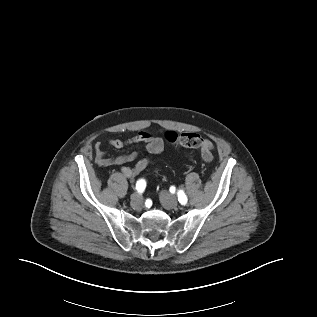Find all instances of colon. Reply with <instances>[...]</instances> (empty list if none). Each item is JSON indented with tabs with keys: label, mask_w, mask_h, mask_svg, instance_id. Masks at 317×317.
Returning <instances> with one entry per match:
<instances>
[{
	"label": "colon",
	"mask_w": 317,
	"mask_h": 317,
	"mask_svg": "<svg viewBox=\"0 0 317 317\" xmlns=\"http://www.w3.org/2000/svg\"><path fill=\"white\" fill-rule=\"evenodd\" d=\"M166 141L173 146H182L187 148H198L203 143V138L194 132L177 133L168 131L165 133Z\"/></svg>",
	"instance_id": "1"
}]
</instances>
